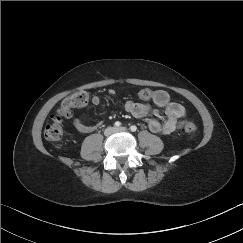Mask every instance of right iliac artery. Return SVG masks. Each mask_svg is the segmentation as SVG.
<instances>
[{
  "mask_svg": "<svg viewBox=\"0 0 243 243\" xmlns=\"http://www.w3.org/2000/svg\"><path fill=\"white\" fill-rule=\"evenodd\" d=\"M114 126L119 128L121 126V123L119 121H117V122H115Z\"/></svg>",
  "mask_w": 243,
  "mask_h": 243,
  "instance_id": "obj_1",
  "label": "right iliac artery"
}]
</instances>
